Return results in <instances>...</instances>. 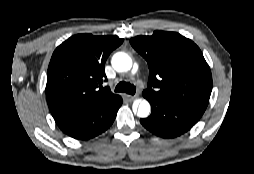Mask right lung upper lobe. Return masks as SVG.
Listing matches in <instances>:
<instances>
[{
  "label": "right lung upper lobe",
  "mask_w": 254,
  "mask_h": 174,
  "mask_svg": "<svg viewBox=\"0 0 254 174\" xmlns=\"http://www.w3.org/2000/svg\"><path fill=\"white\" fill-rule=\"evenodd\" d=\"M123 43L117 36L78 34L54 51L47 72L46 97L54 118L84 102L115 100L120 96L103 87L105 62Z\"/></svg>",
  "instance_id": "right-lung-upper-lobe-1"
}]
</instances>
